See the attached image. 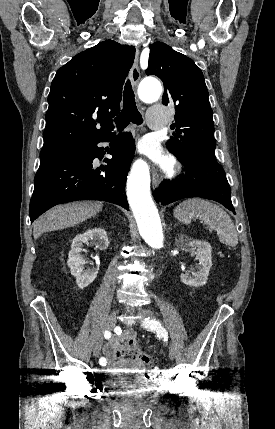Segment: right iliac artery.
I'll use <instances>...</instances> for the list:
<instances>
[{
    "label": "right iliac artery",
    "instance_id": "1",
    "mask_svg": "<svg viewBox=\"0 0 275 429\" xmlns=\"http://www.w3.org/2000/svg\"><path fill=\"white\" fill-rule=\"evenodd\" d=\"M104 337H105L106 339H110V338H111V332H110L109 330H106V331L104 332ZM99 364H100V365H102V366H105V365H106V359H105L104 357H101V358L99 359Z\"/></svg>",
    "mask_w": 275,
    "mask_h": 429
}]
</instances>
